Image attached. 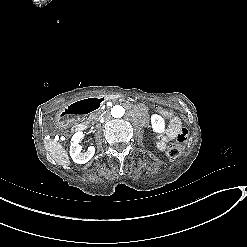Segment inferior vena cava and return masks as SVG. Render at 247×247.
I'll return each mask as SVG.
<instances>
[{
  "mask_svg": "<svg viewBox=\"0 0 247 247\" xmlns=\"http://www.w3.org/2000/svg\"><path fill=\"white\" fill-rule=\"evenodd\" d=\"M103 115H105V114H103ZM103 115L100 117V119L103 117Z\"/></svg>",
  "mask_w": 247,
  "mask_h": 247,
  "instance_id": "1",
  "label": "inferior vena cava"
}]
</instances>
